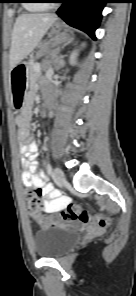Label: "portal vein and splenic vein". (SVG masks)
Returning <instances> with one entry per match:
<instances>
[{"instance_id":"1","label":"portal vein and splenic vein","mask_w":136,"mask_h":296,"mask_svg":"<svg viewBox=\"0 0 136 296\" xmlns=\"http://www.w3.org/2000/svg\"><path fill=\"white\" fill-rule=\"evenodd\" d=\"M35 70L40 71V65L39 64L35 67Z\"/></svg>"}]
</instances>
